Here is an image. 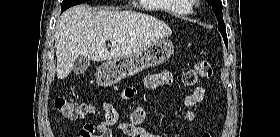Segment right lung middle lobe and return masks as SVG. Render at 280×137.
I'll list each match as a JSON object with an SVG mask.
<instances>
[{
    "mask_svg": "<svg viewBox=\"0 0 280 137\" xmlns=\"http://www.w3.org/2000/svg\"><path fill=\"white\" fill-rule=\"evenodd\" d=\"M85 1H88V0H63L62 6H61V12H63L64 10H66L74 5L81 4Z\"/></svg>",
    "mask_w": 280,
    "mask_h": 137,
    "instance_id": "1",
    "label": "right lung middle lobe"
}]
</instances>
